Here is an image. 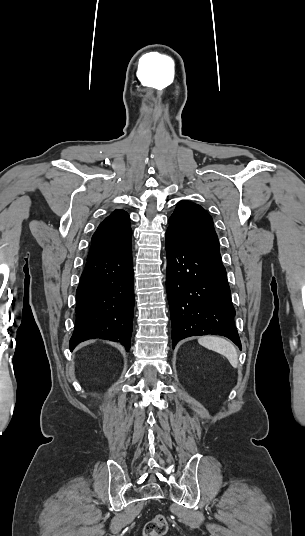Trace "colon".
Masks as SVG:
<instances>
[{"mask_svg": "<svg viewBox=\"0 0 305 536\" xmlns=\"http://www.w3.org/2000/svg\"><path fill=\"white\" fill-rule=\"evenodd\" d=\"M167 529L168 521L166 517L157 515L145 524L142 536H165Z\"/></svg>", "mask_w": 305, "mask_h": 536, "instance_id": "1", "label": "colon"}]
</instances>
